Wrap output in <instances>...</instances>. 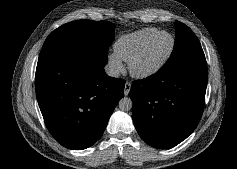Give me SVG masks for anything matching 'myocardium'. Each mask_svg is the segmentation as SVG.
<instances>
[{
    "label": "myocardium",
    "mask_w": 237,
    "mask_h": 169,
    "mask_svg": "<svg viewBox=\"0 0 237 169\" xmlns=\"http://www.w3.org/2000/svg\"><path fill=\"white\" fill-rule=\"evenodd\" d=\"M163 34H167L170 37L171 40V45L169 48V51L167 52V54L160 60L158 61L156 64H154L151 67L145 68V69H139L137 67V64L139 63V61L142 59V57L144 56V54L146 53V51L148 50V48L151 46V44L161 35ZM175 48V39L174 36L167 31H159L157 34H155L150 40H148L143 46L142 48L133 56V58L129 61V71L131 73L132 76H134L135 78L138 79H144L147 78L153 74H155L156 72H158L165 64L166 62L169 60V58L171 57L173 51Z\"/></svg>",
    "instance_id": "f54148a6"
}]
</instances>
